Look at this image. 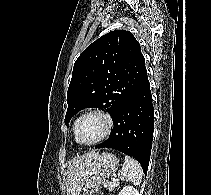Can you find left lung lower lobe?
I'll return each mask as SVG.
<instances>
[{
	"label": "left lung lower lobe",
	"mask_w": 211,
	"mask_h": 195,
	"mask_svg": "<svg viewBox=\"0 0 211 195\" xmlns=\"http://www.w3.org/2000/svg\"><path fill=\"white\" fill-rule=\"evenodd\" d=\"M109 138L97 148H112L139 161L147 173L154 130V109L147 73L112 118Z\"/></svg>",
	"instance_id": "left-lung-lower-lobe-1"
}]
</instances>
